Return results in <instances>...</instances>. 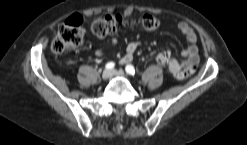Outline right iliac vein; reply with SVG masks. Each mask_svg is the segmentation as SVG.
Instances as JSON below:
<instances>
[{
  "label": "right iliac vein",
  "instance_id": "obj_1",
  "mask_svg": "<svg viewBox=\"0 0 247 145\" xmlns=\"http://www.w3.org/2000/svg\"><path fill=\"white\" fill-rule=\"evenodd\" d=\"M112 76V71L109 69H105L102 73V79L107 80Z\"/></svg>",
  "mask_w": 247,
  "mask_h": 145
}]
</instances>
